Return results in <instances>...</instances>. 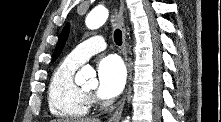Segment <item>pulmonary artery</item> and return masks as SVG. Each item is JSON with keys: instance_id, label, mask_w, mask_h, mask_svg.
Here are the masks:
<instances>
[{"instance_id": "1", "label": "pulmonary artery", "mask_w": 221, "mask_h": 122, "mask_svg": "<svg viewBox=\"0 0 221 122\" xmlns=\"http://www.w3.org/2000/svg\"><path fill=\"white\" fill-rule=\"evenodd\" d=\"M106 48L105 39L100 36H93L76 46L69 57L79 64L84 63L92 55L103 51Z\"/></svg>"}]
</instances>
